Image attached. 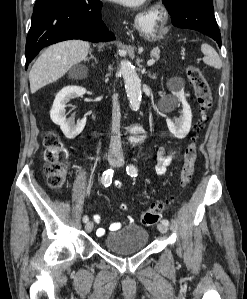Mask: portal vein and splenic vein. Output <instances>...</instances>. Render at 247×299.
Wrapping results in <instances>:
<instances>
[{"label": "portal vein and splenic vein", "instance_id": "1", "mask_svg": "<svg viewBox=\"0 0 247 299\" xmlns=\"http://www.w3.org/2000/svg\"><path fill=\"white\" fill-rule=\"evenodd\" d=\"M154 63H155V60H154V59H150V60H148L147 65H148V66H151V65H153Z\"/></svg>", "mask_w": 247, "mask_h": 299}]
</instances>
